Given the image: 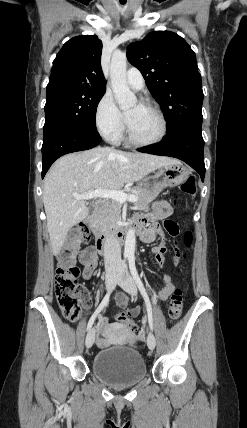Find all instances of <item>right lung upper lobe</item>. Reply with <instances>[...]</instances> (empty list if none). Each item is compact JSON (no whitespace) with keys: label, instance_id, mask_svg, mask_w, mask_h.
Segmentation results:
<instances>
[{"label":"right lung upper lobe","instance_id":"cb5924a9","mask_svg":"<svg viewBox=\"0 0 247 428\" xmlns=\"http://www.w3.org/2000/svg\"><path fill=\"white\" fill-rule=\"evenodd\" d=\"M102 41L78 36L67 41L54 60L47 93L67 88L106 90L101 69Z\"/></svg>","mask_w":247,"mask_h":428}]
</instances>
